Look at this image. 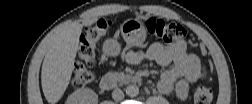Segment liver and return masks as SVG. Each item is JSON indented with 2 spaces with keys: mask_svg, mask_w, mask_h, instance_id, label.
I'll list each match as a JSON object with an SVG mask.
<instances>
[{
  "mask_svg": "<svg viewBox=\"0 0 252 104\" xmlns=\"http://www.w3.org/2000/svg\"><path fill=\"white\" fill-rule=\"evenodd\" d=\"M97 20L93 17L82 23L75 21L61 27L54 34L41 71L42 90L49 103H57L69 85L83 26L92 25Z\"/></svg>",
  "mask_w": 252,
  "mask_h": 104,
  "instance_id": "liver-1",
  "label": "liver"
}]
</instances>
